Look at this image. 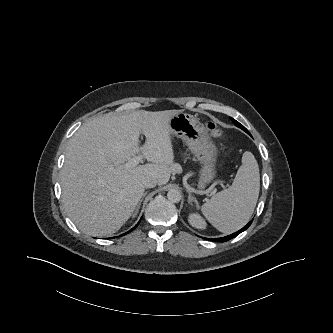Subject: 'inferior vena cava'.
<instances>
[{
    "label": "inferior vena cava",
    "mask_w": 333,
    "mask_h": 333,
    "mask_svg": "<svg viewBox=\"0 0 333 333\" xmlns=\"http://www.w3.org/2000/svg\"><path fill=\"white\" fill-rule=\"evenodd\" d=\"M157 185V180L156 179H147L145 182H144V187L145 188H153Z\"/></svg>",
    "instance_id": "602c4592"
}]
</instances>
